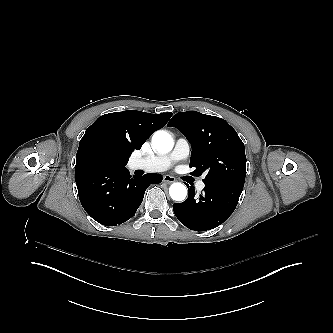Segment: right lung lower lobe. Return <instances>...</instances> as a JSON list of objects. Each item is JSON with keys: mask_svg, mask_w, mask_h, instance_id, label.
I'll list each match as a JSON object with an SVG mask.
<instances>
[{"mask_svg": "<svg viewBox=\"0 0 333 333\" xmlns=\"http://www.w3.org/2000/svg\"><path fill=\"white\" fill-rule=\"evenodd\" d=\"M76 185L85 211L105 226L130 219L140 206L146 188L160 183V174L131 177L127 168L81 164L75 167Z\"/></svg>", "mask_w": 333, "mask_h": 333, "instance_id": "obj_1", "label": "right lung lower lobe"}]
</instances>
